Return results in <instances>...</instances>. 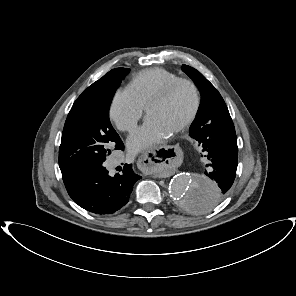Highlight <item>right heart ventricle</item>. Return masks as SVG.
<instances>
[{"mask_svg": "<svg viewBox=\"0 0 296 296\" xmlns=\"http://www.w3.org/2000/svg\"><path fill=\"white\" fill-rule=\"evenodd\" d=\"M181 78L163 68H150L136 74L126 87V91L143 107L155 95Z\"/></svg>", "mask_w": 296, "mask_h": 296, "instance_id": "e07e8e85", "label": "right heart ventricle"}]
</instances>
